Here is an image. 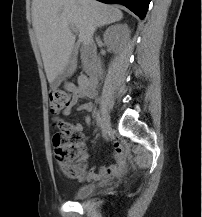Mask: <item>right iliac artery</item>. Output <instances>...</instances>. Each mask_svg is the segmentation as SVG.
Returning <instances> with one entry per match:
<instances>
[{"label":"right iliac artery","instance_id":"1","mask_svg":"<svg viewBox=\"0 0 202 217\" xmlns=\"http://www.w3.org/2000/svg\"><path fill=\"white\" fill-rule=\"evenodd\" d=\"M96 124H97V128H98V131H99L100 130V125H101V118H100L99 112H97Z\"/></svg>","mask_w":202,"mask_h":217}]
</instances>
